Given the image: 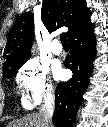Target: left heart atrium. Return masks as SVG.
<instances>
[{
  "label": "left heart atrium",
  "mask_w": 108,
  "mask_h": 127,
  "mask_svg": "<svg viewBox=\"0 0 108 127\" xmlns=\"http://www.w3.org/2000/svg\"><path fill=\"white\" fill-rule=\"evenodd\" d=\"M55 76H56L57 78L62 79V78L65 76V71H64L62 68L57 67V68L55 69Z\"/></svg>",
  "instance_id": "1"
}]
</instances>
